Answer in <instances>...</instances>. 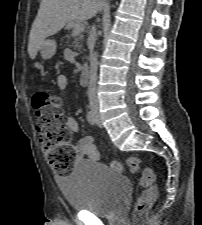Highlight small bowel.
<instances>
[{
  "label": "small bowel",
  "instance_id": "small-bowel-1",
  "mask_svg": "<svg viewBox=\"0 0 202 225\" xmlns=\"http://www.w3.org/2000/svg\"><path fill=\"white\" fill-rule=\"evenodd\" d=\"M68 84V76L66 74H60L57 77V87L59 90H64ZM66 125L71 133L78 132L80 127L78 120L74 117H68L66 120ZM92 137H83L78 142V153L80 158H87L90 160L99 159V153L93 145Z\"/></svg>",
  "mask_w": 202,
  "mask_h": 225
}]
</instances>
